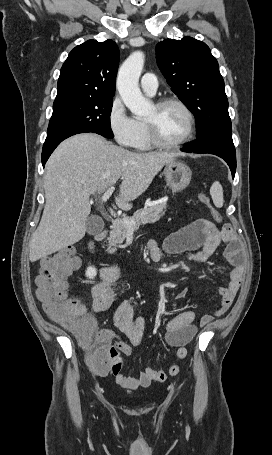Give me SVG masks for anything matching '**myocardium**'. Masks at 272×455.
Instances as JSON below:
<instances>
[{
	"label": "myocardium",
	"mask_w": 272,
	"mask_h": 455,
	"mask_svg": "<svg viewBox=\"0 0 272 455\" xmlns=\"http://www.w3.org/2000/svg\"><path fill=\"white\" fill-rule=\"evenodd\" d=\"M168 105H175V106L179 107L185 113V115L187 117V121H188L187 132L181 140H179L175 143H166L160 139L153 122L145 120V125L147 127L150 142L153 146L160 148V149L173 150V149L181 148L182 146H184L186 143H188L192 139V137L194 136V133H195L196 122H195L194 114L191 111V109L184 102H182L179 99L172 98V97L162 98L156 102L155 107L157 109H161Z\"/></svg>",
	"instance_id": "myocardium-1"
}]
</instances>
